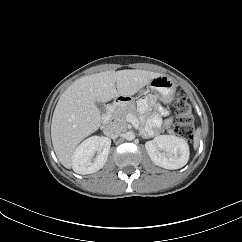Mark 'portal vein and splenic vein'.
Returning <instances> with one entry per match:
<instances>
[{
	"label": "portal vein and splenic vein",
	"instance_id": "18ae733b",
	"mask_svg": "<svg viewBox=\"0 0 242 242\" xmlns=\"http://www.w3.org/2000/svg\"><path fill=\"white\" fill-rule=\"evenodd\" d=\"M126 121L132 123L135 127L138 126V121L132 114L127 115Z\"/></svg>",
	"mask_w": 242,
	"mask_h": 242
}]
</instances>
